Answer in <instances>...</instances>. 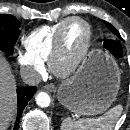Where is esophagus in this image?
Masks as SVG:
<instances>
[{
    "label": "esophagus",
    "instance_id": "1",
    "mask_svg": "<svg viewBox=\"0 0 130 130\" xmlns=\"http://www.w3.org/2000/svg\"><path fill=\"white\" fill-rule=\"evenodd\" d=\"M43 88H44V90L49 91V92L55 91V85L54 84H46Z\"/></svg>",
    "mask_w": 130,
    "mask_h": 130
}]
</instances>
